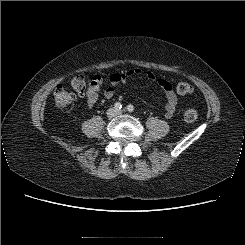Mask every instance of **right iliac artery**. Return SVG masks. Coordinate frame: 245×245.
<instances>
[{"label": "right iliac artery", "instance_id": "right-iliac-artery-1", "mask_svg": "<svg viewBox=\"0 0 245 245\" xmlns=\"http://www.w3.org/2000/svg\"><path fill=\"white\" fill-rule=\"evenodd\" d=\"M115 109L120 110L122 108V104L120 102H116L114 104Z\"/></svg>", "mask_w": 245, "mask_h": 245}]
</instances>
